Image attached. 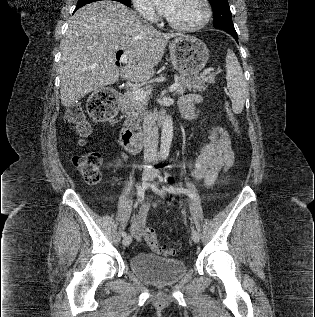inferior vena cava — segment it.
I'll return each instance as SVG.
<instances>
[{"label": "inferior vena cava", "instance_id": "obj_1", "mask_svg": "<svg viewBox=\"0 0 315 317\" xmlns=\"http://www.w3.org/2000/svg\"><path fill=\"white\" fill-rule=\"evenodd\" d=\"M143 133H144V160L146 163L157 160L158 129L153 114L149 111L143 113ZM145 170H153L146 166Z\"/></svg>", "mask_w": 315, "mask_h": 317}]
</instances>
